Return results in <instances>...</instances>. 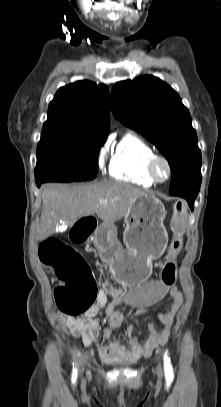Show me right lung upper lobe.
Segmentation results:
<instances>
[{"label": "right lung upper lobe", "mask_w": 221, "mask_h": 407, "mask_svg": "<svg viewBox=\"0 0 221 407\" xmlns=\"http://www.w3.org/2000/svg\"><path fill=\"white\" fill-rule=\"evenodd\" d=\"M109 127L107 86L78 81L57 91L49 104L42 134H64L105 142Z\"/></svg>", "instance_id": "1"}]
</instances>
